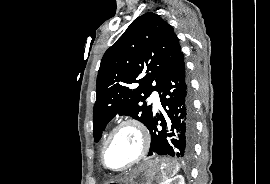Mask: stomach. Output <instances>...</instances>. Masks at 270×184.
Here are the masks:
<instances>
[{
	"instance_id": "stomach-1",
	"label": "stomach",
	"mask_w": 270,
	"mask_h": 184,
	"mask_svg": "<svg viewBox=\"0 0 270 184\" xmlns=\"http://www.w3.org/2000/svg\"><path fill=\"white\" fill-rule=\"evenodd\" d=\"M179 166L169 159L148 160L133 170L122 175L113 184H153L163 180L164 176H171Z\"/></svg>"
}]
</instances>
